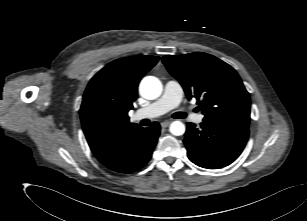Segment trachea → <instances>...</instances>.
<instances>
[{
  "mask_svg": "<svg viewBox=\"0 0 307 221\" xmlns=\"http://www.w3.org/2000/svg\"><path fill=\"white\" fill-rule=\"evenodd\" d=\"M174 118H185L186 114L183 112H177L173 115Z\"/></svg>",
  "mask_w": 307,
  "mask_h": 221,
  "instance_id": "trachea-1",
  "label": "trachea"
}]
</instances>
